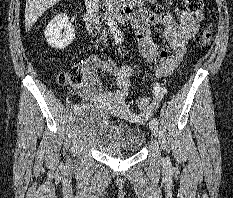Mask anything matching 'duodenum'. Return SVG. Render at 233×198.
Returning <instances> with one entry per match:
<instances>
[{
    "mask_svg": "<svg viewBox=\"0 0 233 198\" xmlns=\"http://www.w3.org/2000/svg\"><path fill=\"white\" fill-rule=\"evenodd\" d=\"M136 1L137 0H126L121 5H119L117 8H115L112 12L114 18L120 22L125 23L131 19V17L134 14V10L136 7ZM84 8L87 12V17L90 22H94L97 18L92 13V5L90 0H86L84 4Z\"/></svg>",
    "mask_w": 233,
    "mask_h": 198,
    "instance_id": "410a0bca",
    "label": "duodenum"
}]
</instances>
